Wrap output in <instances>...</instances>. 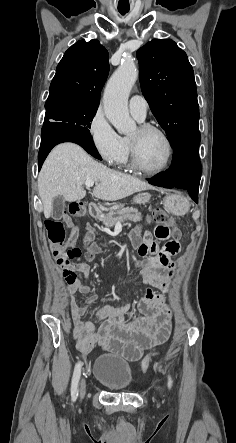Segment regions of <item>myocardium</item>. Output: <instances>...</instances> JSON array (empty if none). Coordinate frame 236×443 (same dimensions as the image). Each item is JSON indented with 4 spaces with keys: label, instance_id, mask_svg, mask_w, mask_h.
I'll return each mask as SVG.
<instances>
[{
    "label": "myocardium",
    "instance_id": "obj_1",
    "mask_svg": "<svg viewBox=\"0 0 236 443\" xmlns=\"http://www.w3.org/2000/svg\"><path fill=\"white\" fill-rule=\"evenodd\" d=\"M138 130L140 133L145 134V133H149V132H156L158 134H160L168 147V157L167 160L165 162V164L158 168V169H148L146 168L141 160H140V156H139V151H138V146L136 141L129 137V147H130V156H131V164L132 166L139 172L143 173V174H147V175H157L160 173L165 172L170 165L172 164L173 158H174V146H173V142L170 138V136L167 134V132L162 129L159 126L150 124V123H142L138 126Z\"/></svg>",
    "mask_w": 236,
    "mask_h": 443
}]
</instances>
